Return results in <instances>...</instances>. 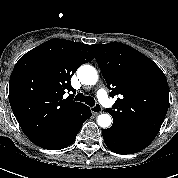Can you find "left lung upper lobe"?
Listing matches in <instances>:
<instances>
[{
    "label": "left lung upper lobe",
    "instance_id": "left-lung-upper-lobe-1",
    "mask_svg": "<svg viewBox=\"0 0 178 178\" xmlns=\"http://www.w3.org/2000/svg\"><path fill=\"white\" fill-rule=\"evenodd\" d=\"M95 58L111 90L120 95L108 113L113 125L152 142L169 106V88L162 70L136 49L117 42L94 44Z\"/></svg>",
    "mask_w": 178,
    "mask_h": 178
}]
</instances>
